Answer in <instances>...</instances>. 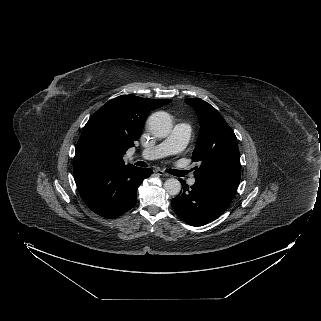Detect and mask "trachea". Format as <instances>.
I'll return each instance as SVG.
<instances>
[{"label":"trachea","mask_w":321,"mask_h":321,"mask_svg":"<svg viewBox=\"0 0 321 321\" xmlns=\"http://www.w3.org/2000/svg\"><path fill=\"white\" fill-rule=\"evenodd\" d=\"M137 166H141V167H147V164L143 161H138L136 162ZM168 173H171V170H167Z\"/></svg>","instance_id":"trachea-1"}]
</instances>
